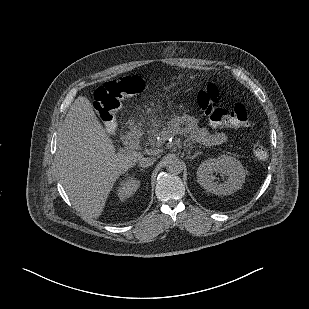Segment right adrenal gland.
<instances>
[{
  "label": "right adrenal gland",
  "mask_w": 309,
  "mask_h": 309,
  "mask_svg": "<svg viewBox=\"0 0 309 309\" xmlns=\"http://www.w3.org/2000/svg\"><path fill=\"white\" fill-rule=\"evenodd\" d=\"M140 171L145 172V170H144V169H142V168H140Z\"/></svg>",
  "instance_id": "right-adrenal-gland-1"
}]
</instances>
